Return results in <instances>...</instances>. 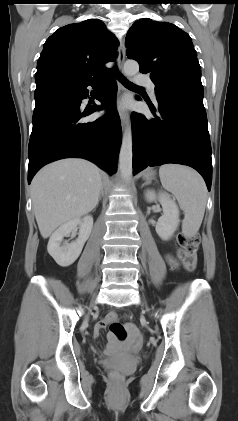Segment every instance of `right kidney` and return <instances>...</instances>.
I'll list each match as a JSON object with an SVG mask.
<instances>
[{
  "instance_id": "right-kidney-1",
  "label": "right kidney",
  "mask_w": 238,
  "mask_h": 421,
  "mask_svg": "<svg viewBox=\"0 0 238 421\" xmlns=\"http://www.w3.org/2000/svg\"><path fill=\"white\" fill-rule=\"evenodd\" d=\"M78 225H80V228L77 240L72 243H62L63 238L76 229ZM92 227L93 218L91 215L66 222L51 235L47 245L48 253L58 265L62 267L72 265L79 257L85 242L91 234Z\"/></svg>"
}]
</instances>
